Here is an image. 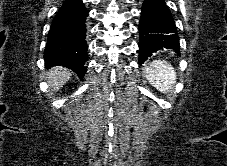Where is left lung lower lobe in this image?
<instances>
[{
    "mask_svg": "<svg viewBox=\"0 0 227 166\" xmlns=\"http://www.w3.org/2000/svg\"><path fill=\"white\" fill-rule=\"evenodd\" d=\"M139 63L163 48L179 50V37L173 17L164 0H145L139 23Z\"/></svg>",
    "mask_w": 227,
    "mask_h": 166,
    "instance_id": "obj_1",
    "label": "left lung lower lobe"
}]
</instances>
